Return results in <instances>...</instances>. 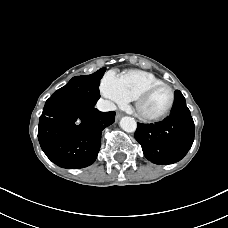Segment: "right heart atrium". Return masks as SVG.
I'll use <instances>...</instances> for the list:
<instances>
[{"label":"right heart atrium","instance_id":"obj_1","mask_svg":"<svg viewBox=\"0 0 228 228\" xmlns=\"http://www.w3.org/2000/svg\"><path fill=\"white\" fill-rule=\"evenodd\" d=\"M100 91L111 106L125 105L129 99L120 89L117 77L107 73L101 80Z\"/></svg>","mask_w":228,"mask_h":228}]
</instances>
